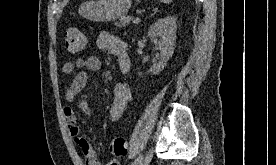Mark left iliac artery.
Segmentation results:
<instances>
[{"instance_id":"44dca946","label":"left iliac artery","mask_w":276,"mask_h":165,"mask_svg":"<svg viewBox=\"0 0 276 165\" xmlns=\"http://www.w3.org/2000/svg\"><path fill=\"white\" fill-rule=\"evenodd\" d=\"M142 159H143V155H139L131 165H139Z\"/></svg>"}]
</instances>
